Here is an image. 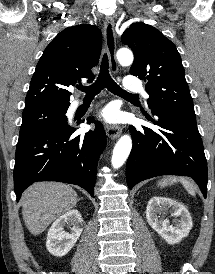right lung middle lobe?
Returning a JSON list of instances; mask_svg holds the SVG:
<instances>
[{
	"label": "right lung middle lobe",
	"instance_id": "dd1d6c3e",
	"mask_svg": "<svg viewBox=\"0 0 215 274\" xmlns=\"http://www.w3.org/2000/svg\"><path fill=\"white\" fill-rule=\"evenodd\" d=\"M68 107L41 106L23 111L18 144L28 137L66 120Z\"/></svg>",
	"mask_w": 215,
	"mask_h": 274
}]
</instances>
